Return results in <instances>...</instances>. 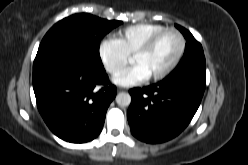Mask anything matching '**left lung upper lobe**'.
Returning a JSON list of instances; mask_svg holds the SVG:
<instances>
[{
  "label": "left lung upper lobe",
  "mask_w": 248,
  "mask_h": 165,
  "mask_svg": "<svg viewBox=\"0 0 248 165\" xmlns=\"http://www.w3.org/2000/svg\"><path fill=\"white\" fill-rule=\"evenodd\" d=\"M175 26L184 35L186 46L182 60L168 77L182 74L194 67H206L205 56L201 44L187 29L177 24Z\"/></svg>",
  "instance_id": "1"
}]
</instances>
